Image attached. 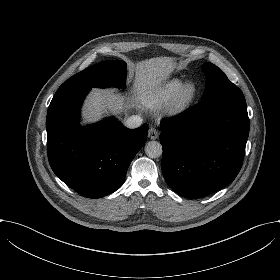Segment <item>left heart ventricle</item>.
Wrapping results in <instances>:
<instances>
[{"label": "left heart ventricle", "mask_w": 280, "mask_h": 280, "mask_svg": "<svg viewBox=\"0 0 280 280\" xmlns=\"http://www.w3.org/2000/svg\"><path fill=\"white\" fill-rule=\"evenodd\" d=\"M195 93V84L190 83L186 89V96L190 97Z\"/></svg>", "instance_id": "1"}]
</instances>
